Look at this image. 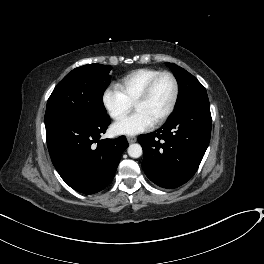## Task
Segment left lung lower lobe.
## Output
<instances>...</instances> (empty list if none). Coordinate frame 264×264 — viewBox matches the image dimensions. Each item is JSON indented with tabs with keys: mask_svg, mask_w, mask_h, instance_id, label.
I'll list each match as a JSON object with an SVG mask.
<instances>
[{
	"mask_svg": "<svg viewBox=\"0 0 264 264\" xmlns=\"http://www.w3.org/2000/svg\"><path fill=\"white\" fill-rule=\"evenodd\" d=\"M211 122L209 101H196L171 116L160 129L140 135L146 176L168 189L190 180L209 145Z\"/></svg>",
	"mask_w": 264,
	"mask_h": 264,
	"instance_id": "0a47b994",
	"label": "left lung lower lobe"
}]
</instances>
